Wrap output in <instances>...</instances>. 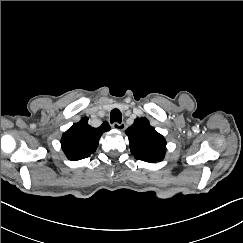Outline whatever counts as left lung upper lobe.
Wrapping results in <instances>:
<instances>
[{
	"label": "left lung upper lobe",
	"instance_id": "obj_1",
	"mask_svg": "<svg viewBox=\"0 0 243 243\" xmlns=\"http://www.w3.org/2000/svg\"><path fill=\"white\" fill-rule=\"evenodd\" d=\"M126 134L132 155L138 160L150 163L162 161L166 153V141L146 118H137Z\"/></svg>",
	"mask_w": 243,
	"mask_h": 243
}]
</instances>
